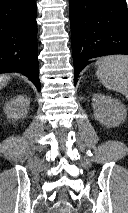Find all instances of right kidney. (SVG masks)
Segmentation results:
<instances>
[{
  "mask_svg": "<svg viewBox=\"0 0 128 213\" xmlns=\"http://www.w3.org/2000/svg\"><path fill=\"white\" fill-rule=\"evenodd\" d=\"M30 99L26 95H19L4 106V112L10 119L24 118L29 110Z\"/></svg>",
  "mask_w": 128,
  "mask_h": 213,
  "instance_id": "obj_1",
  "label": "right kidney"
}]
</instances>
